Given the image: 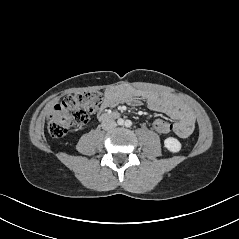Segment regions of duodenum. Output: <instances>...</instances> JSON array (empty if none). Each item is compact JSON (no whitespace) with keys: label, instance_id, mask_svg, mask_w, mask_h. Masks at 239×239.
I'll return each mask as SVG.
<instances>
[{"label":"duodenum","instance_id":"410a0bca","mask_svg":"<svg viewBox=\"0 0 239 239\" xmlns=\"http://www.w3.org/2000/svg\"><path fill=\"white\" fill-rule=\"evenodd\" d=\"M119 117L118 112H108V113H103L100 115L101 120H109V119H116Z\"/></svg>","mask_w":239,"mask_h":239}]
</instances>
